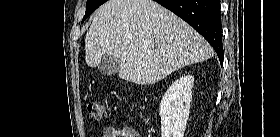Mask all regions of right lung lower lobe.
Returning <instances> with one entry per match:
<instances>
[{
	"mask_svg": "<svg viewBox=\"0 0 280 137\" xmlns=\"http://www.w3.org/2000/svg\"><path fill=\"white\" fill-rule=\"evenodd\" d=\"M198 31L223 63L220 0H155Z\"/></svg>",
	"mask_w": 280,
	"mask_h": 137,
	"instance_id": "98d812e1",
	"label": "right lung lower lobe"
}]
</instances>
